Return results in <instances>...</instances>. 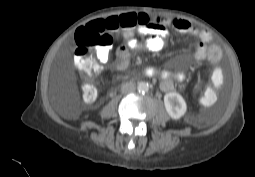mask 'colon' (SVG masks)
I'll return each mask as SVG.
<instances>
[{
    "label": "colon",
    "instance_id": "1",
    "mask_svg": "<svg viewBox=\"0 0 255 177\" xmlns=\"http://www.w3.org/2000/svg\"><path fill=\"white\" fill-rule=\"evenodd\" d=\"M150 23L151 19L146 14L126 13L91 22L85 28L81 27L76 31L74 64L89 79L82 91L85 101L93 102L97 97L93 81L101 70V64L97 62L96 56L93 57V51L95 50L96 53L102 47H110L114 42V36L122 31H136Z\"/></svg>",
    "mask_w": 255,
    "mask_h": 177
}]
</instances>
